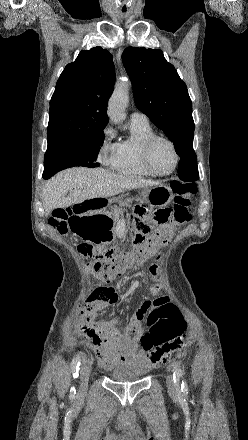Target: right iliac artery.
I'll use <instances>...</instances> for the list:
<instances>
[{
  "label": "right iliac artery",
  "mask_w": 248,
  "mask_h": 440,
  "mask_svg": "<svg viewBox=\"0 0 248 440\" xmlns=\"http://www.w3.org/2000/svg\"><path fill=\"white\" fill-rule=\"evenodd\" d=\"M81 357L78 355V356H76L73 360H72V362H71V370H72V372H73V377L74 378H77L78 377V371H79V367H80V359ZM75 394H76V390H75V387L73 386L71 389H70V398H74L75 397Z\"/></svg>",
  "instance_id": "obj_1"
}]
</instances>
